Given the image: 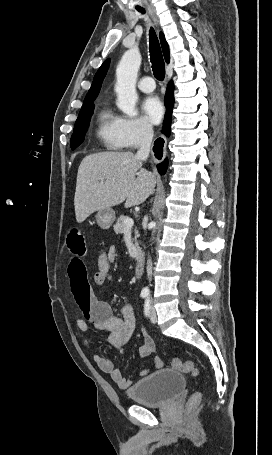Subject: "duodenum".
Here are the masks:
<instances>
[{"label": "duodenum", "instance_id": "obj_1", "mask_svg": "<svg viewBox=\"0 0 272 455\" xmlns=\"http://www.w3.org/2000/svg\"><path fill=\"white\" fill-rule=\"evenodd\" d=\"M144 267V256L141 252L136 255L135 275L140 277Z\"/></svg>", "mask_w": 272, "mask_h": 455}]
</instances>
